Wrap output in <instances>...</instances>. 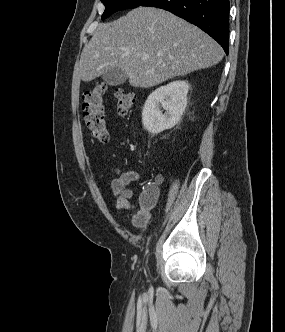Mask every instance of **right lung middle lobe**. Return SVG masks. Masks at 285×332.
<instances>
[{
  "label": "right lung middle lobe",
  "mask_w": 285,
  "mask_h": 332,
  "mask_svg": "<svg viewBox=\"0 0 285 332\" xmlns=\"http://www.w3.org/2000/svg\"><path fill=\"white\" fill-rule=\"evenodd\" d=\"M105 5V11L102 15V20L106 19L108 16L116 11L136 8L142 5L147 0H101Z\"/></svg>",
  "instance_id": "dd1d6c3e"
}]
</instances>
